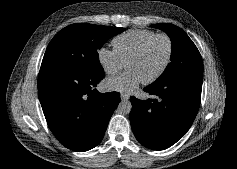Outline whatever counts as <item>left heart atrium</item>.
I'll return each instance as SVG.
<instances>
[{"mask_svg":"<svg viewBox=\"0 0 237 169\" xmlns=\"http://www.w3.org/2000/svg\"><path fill=\"white\" fill-rule=\"evenodd\" d=\"M140 83V77L133 70H127L121 74L109 77L106 80V87L110 90L130 91Z\"/></svg>","mask_w":237,"mask_h":169,"instance_id":"left-heart-atrium-1","label":"left heart atrium"}]
</instances>
